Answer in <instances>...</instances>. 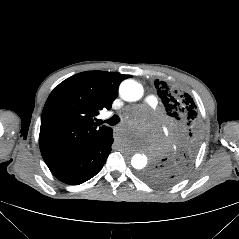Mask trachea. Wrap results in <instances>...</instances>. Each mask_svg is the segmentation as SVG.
Instances as JSON below:
<instances>
[{"label": "trachea", "mask_w": 239, "mask_h": 239, "mask_svg": "<svg viewBox=\"0 0 239 239\" xmlns=\"http://www.w3.org/2000/svg\"><path fill=\"white\" fill-rule=\"evenodd\" d=\"M104 122L109 124L110 126H114V125H116V124H118L120 122V118H119L118 115H114L110 119L105 120ZM104 122L100 121L99 123L103 124Z\"/></svg>", "instance_id": "trachea-1"}]
</instances>
